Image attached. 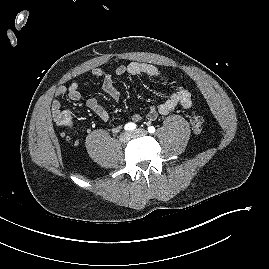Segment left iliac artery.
I'll return each instance as SVG.
<instances>
[{"label":"left iliac artery","instance_id":"44dca946","mask_svg":"<svg viewBox=\"0 0 269 269\" xmlns=\"http://www.w3.org/2000/svg\"><path fill=\"white\" fill-rule=\"evenodd\" d=\"M148 132L149 133H154L155 132V127L154 126L148 127Z\"/></svg>","mask_w":269,"mask_h":269}]
</instances>
